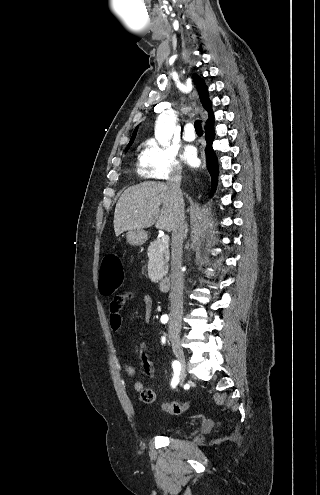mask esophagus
<instances>
[{"mask_svg": "<svg viewBox=\"0 0 320 495\" xmlns=\"http://www.w3.org/2000/svg\"><path fill=\"white\" fill-rule=\"evenodd\" d=\"M205 167V153L202 152V168Z\"/></svg>", "mask_w": 320, "mask_h": 495, "instance_id": "obj_1", "label": "esophagus"}]
</instances>
